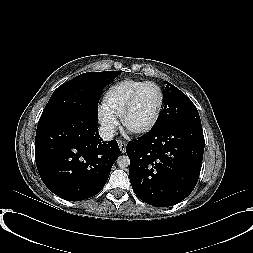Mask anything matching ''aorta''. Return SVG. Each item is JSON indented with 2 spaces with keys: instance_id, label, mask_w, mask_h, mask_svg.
I'll list each match as a JSON object with an SVG mask.
<instances>
[{
  "instance_id": "762f6f07",
  "label": "aorta",
  "mask_w": 253,
  "mask_h": 253,
  "mask_svg": "<svg viewBox=\"0 0 253 253\" xmlns=\"http://www.w3.org/2000/svg\"><path fill=\"white\" fill-rule=\"evenodd\" d=\"M117 164L120 168H126L130 165V158L127 155H121L117 158Z\"/></svg>"
}]
</instances>
